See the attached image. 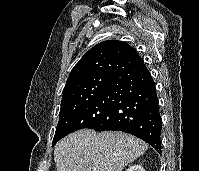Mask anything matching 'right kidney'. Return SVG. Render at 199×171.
<instances>
[{
	"label": "right kidney",
	"mask_w": 199,
	"mask_h": 171,
	"mask_svg": "<svg viewBox=\"0 0 199 171\" xmlns=\"http://www.w3.org/2000/svg\"><path fill=\"white\" fill-rule=\"evenodd\" d=\"M126 171H145L140 164L130 166Z\"/></svg>",
	"instance_id": "ca27d5eb"
}]
</instances>
